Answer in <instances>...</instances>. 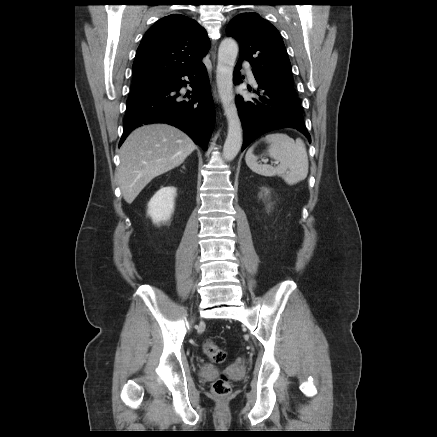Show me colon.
Instances as JSON below:
<instances>
[{
	"mask_svg": "<svg viewBox=\"0 0 437 437\" xmlns=\"http://www.w3.org/2000/svg\"><path fill=\"white\" fill-rule=\"evenodd\" d=\"M203 353L213 363H222L226 358L224 350L212 340H206L203 343ZM212 391L219 397H226L231 391L228 378L225 375L217 378L212 384Z\"/></svg>",
	"mask_w": 437,
	"mask_h": 437,
	"instance_id": "obj_1",
	"label": "colon"
}]
</instances>
